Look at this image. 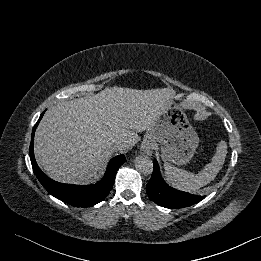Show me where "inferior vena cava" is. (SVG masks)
I'll return each instance as SVG.
<instances>
[{
	"label": "inferior vena cava",
	"instance_id": "1",
	"mask_svg": "<svg viewBox=\"0 0 261 261\" xmlns=\"http://www.w3.org/2000/svg\"><path fill=\"white\" fill-rule=\"evenodd\" d=\"M124 147V143L122 141H117L113 144L112 148L114 150H120L121 148Z\"/></svg>",
	"mask_w": 261,
	"mask_h": 261
}]
</instances>
